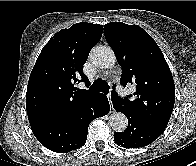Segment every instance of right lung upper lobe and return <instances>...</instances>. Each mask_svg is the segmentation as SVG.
<instances>
[{
	"label": "right lung upper lobe",
	"mask_w": 196,
	"mask_h": 166,
	"mask_svg": "<svg viewBox=\"0 0 196 166\" xmlns=\"http://www.w3.org/2000/svg\"><path fill=\"white\" fill-rule=\"evenodd\" d=\"M102 32V25L80 22L60 30L44 46L30 74L26 93L32 128L66 120L100 95L77 89L75 84H89L82 67Z\"/></svg>",
	"instance_id": "right-lung-upper-lobe-1"
}]
</instances>
